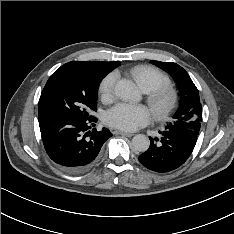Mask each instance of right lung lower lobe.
<instances>
[{
	"label": "right lung lower lobe",
	"instance_id": "1",
	"mask_svg": "<svg viewBox=\"0 0 234 234\" xmlns=\"http://www.w3.org/2000/svg\"><path fill=\"white\" fill-rule=\"evenodd\" d=\"M97 119L49 116L39 120L42 141L49 157L70 172L89 168L97 160L104 142L112 136L108 129H91Z\"/></svg>",
	"mask_w": 234,
	"mask_h": 234
}]
</instances>
